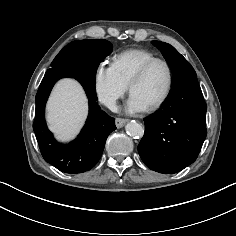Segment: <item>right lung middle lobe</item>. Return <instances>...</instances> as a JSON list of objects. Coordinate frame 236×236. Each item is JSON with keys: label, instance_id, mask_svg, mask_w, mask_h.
<instances>
[{"label": "right lung middle lobe", "instance_id": "dd1d6c3e", "mask_svg": "<svg viewBox=\"0 0 236 236\" xmlns=\"http://www.w3.org/2000/svg\"><path fill=\"white\" fill-rule=\"evenodd\" d=\"M87 44L96 49L97 53H103L104 55H109L112 52V44L104 39H94V40H77L69 43L64 47L59 54L53 60L51 67L52 68H67L72 67L76 59H72L67 55L69 50H72L74 46ZM51 69V68H50Z\"/></svg>", "mask_w": 236, "mask_h": 236}]
</instances>
